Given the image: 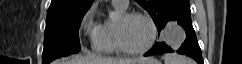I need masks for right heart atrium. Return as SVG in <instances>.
I'll use <instances>...</instances> for the list:
<instances>
[{
    "instance_id": "obj_1",
    "label": "right heart atrium",
    "mask_w": 242,
    "mask_h": 64,
    "mask_svg": "<svg viewBox=\"0 0 242 64\" xmlns=\"http://www.w3.org/2000/svg\"><path fill=\"white\" fill-rule=\"evenodd\" d=\"M94 10L91 8L83 17L81 21V27L84 30L85 34L90 37L93 41L96 34L101 29V24L96 23L93 19Z\"/></svg>"
}]
</instances>
